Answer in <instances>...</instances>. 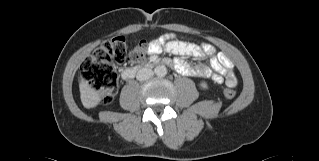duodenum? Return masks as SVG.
Listing matches in <instances>:
<instances>
[{
  "label": "duodenum",
  "mask_w": 319,
  "mask_h": 161,
  "mask_svg": "<svg viewBox=\"0 0 319 161\" xmlns=\"http://www.w3.org/2000/svg\"><path fill=\"white\" fill-rule=\"evenodd\" d=\"M155 62L147 61L144 64L134 66V67H126L122 70L121 75L122 78L125 80H128L132 77H134L138 72L144 70V69H150L154 66Z\"/></svg>",
  "instance_id": "obj_1"
}]
</instances>
